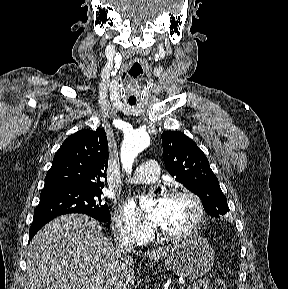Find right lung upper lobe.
Instances as JSON below:
<instances>
[{
	"instance_id": "cb5924a9",
	"label": "right lung upper lobe",
	"mask_w": 288,
	"mask_h": 289,
	"mask_svg": "<svg viewBox=\"0 0 288 289\" xmlns=\"http://www.w3.org/2000/svg\"><path fill=\"white\" fill-rule=\"evenodd\" d=\"M107 166L105 131L101 128L80 130L69 136L55 154L44 188L103 187L100 178L106 177Z\"/></svg>"
}]
</instances>
